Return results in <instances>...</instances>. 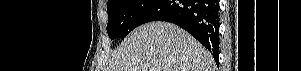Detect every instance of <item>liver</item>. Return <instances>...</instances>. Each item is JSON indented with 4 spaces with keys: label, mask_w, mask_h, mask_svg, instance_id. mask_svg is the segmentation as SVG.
Returning <instances> with one entry per match:
<instances>
[{
    "label": "liver",
    "mask_w": 301,
    "mask_h": 71,
    "mask_svg": "<svg viewBox=\"0 0 301 71\" xmlns=\"http://www.w3.org/2000/svg\"><path fill=\"white\" fill-rule=\"evenodd\" d=\"M105 71H215L210 52L167 22L134 29L112 54Z\"/></svg>",
    "instance_id": "6515ba94"
}]
</instances>
